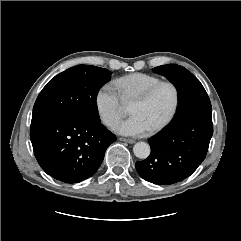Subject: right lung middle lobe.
I'll return each instance as SVG.
<instances>
[{
    "mask_svg": "<svg viewBox=\"0 0 241 241\" xmlns=\"http://www.w3.org/2000/svg\"><path fill=\"white\" fill-rule=\"evenodd\" d=\"M107 69L77 65L52 78L36 99L32 119L68 115L100 122L96 108L99 89L110 80Z\"/></svg>",
    "mask_w": 241,
    "mask_h": 241,
    "instance_id": "obj_1",
    "label": "right lung middle lobe"
}]
</instances>
